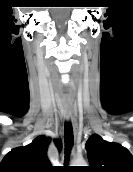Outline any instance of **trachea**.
<instances>
[{
    "mask_svg": "<svg viewBox=\"0 0 133 172\" xmlns=\"http://www.w3.org/2000/svg\"><path fill=\"white\" fill-rule=\"evenodd\" d=\"M64 140H65V161H68L70 150L73 146L74 142V136H73V130L70 122L65 123L64 127Z\"/></svg>",
    "mask_w": 133,
    "mask_h": 172,
    "instance_id": "1",
    "label": "trachea"
}]
</instances>
